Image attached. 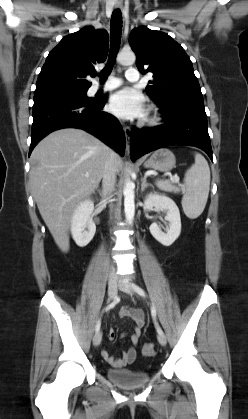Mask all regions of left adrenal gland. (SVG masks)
<instances>
[{"label":"left adrenal gland","instance_id":"left-adrenal-gland-1","mask_svg":"<svg viewBox=\"0 0 248 419\" xmlns=\"http://www.w3.org/2000/svg\"><path fill=\"white\" fill-rule=\"evenodd\" d=\"M141 191L143 192L145 190V188H147L148 186H151V184L146 182V177L142 178L141 180Z\"/></svg>","mask_w":248,"mask_h":419}]
</instances>
